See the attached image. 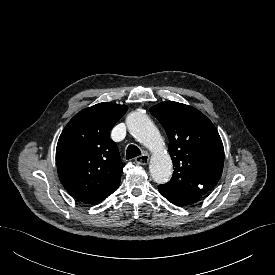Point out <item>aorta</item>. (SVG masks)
I'll return each mask as SVG.
<instances>
[{"instance_id":"obj_1","label":"aorta","mask_w":275,"mask_h":275,"mask_svg":"<svg viewBox=\"0 0 275 275\" xmlns=\"http://www.w3.org/2000/svg\"><path fill=\"white\" fill-rule=\"evenodd\" d=\"M126 124L129 132L152 152L149 169L153 180L158 184L168 182L173 172L172 160L151 119L142 112L134 111L128 115Z\"/></svg>"}]
</instances>
